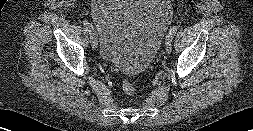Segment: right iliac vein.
<instances>
[{
	"mask_svg": "<svg viewBox=\"0 0 253 131\" xmlns=\"http://www.w3.org/2000/svg\"><path fill=\"white\" fill-rule=\"evenodd\" d=\"M89 34H90L92 49H96V48H97V45H98L97 34H96V32L94 31V29H91V31H90Z\"/></svg>",
	"mask_w": 253,
	"mask_h": 131,
	"instance_id": "1",
	"label": "right iliac vein"
}]
</instances>
